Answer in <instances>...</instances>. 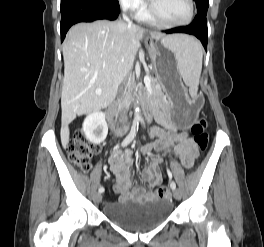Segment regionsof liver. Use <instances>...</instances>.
Instances as JSON below:
<instances>
[{"label": "liver", "instance_id": "liver-1", "mask_svg": "<svg viewBox=\"0 0 264 247\" xmlns=\"http://www.w3.org/2000/svg\"><path fill=\"white\" fill-rule=\"evenodd\" d=\"M145 32L136 25L106 20L70 28L63 43L60 136L64 148L69 143L68 125L77 115L106 108L114 101L119 85L133 67ZM149 33L153 39L169 42L178 36Z\"/></svg>", "mask_w": 264, "mask_h": 247}]
</instances>
